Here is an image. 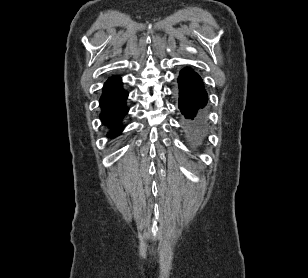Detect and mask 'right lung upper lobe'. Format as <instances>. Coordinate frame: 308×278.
I'll list each match as a JSON object with an SVG mask.
<instances>
[{
  "mask_svg": "<svg viewBox=\"0 0 308 278\" xmlns=\"http://www.w3.org/2000/svg\"><path fill=\"white\" fill-rule=\"evenodd\" d=\"M115 78H118V77H112V78H110V79H115ZM110 79H109V80H110Z\"/></svg>",
  "mask_w": 308,
  "mask_h": 278,
  "instance_id": "obj_1",
  "label": "right lung upper lobe"
}]
</instances>
